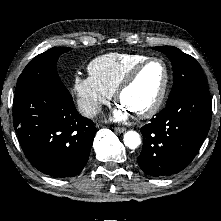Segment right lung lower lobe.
Wrapping results in <instances>:
<instances>
[{"label": "right lung lower lobe", "mask_w": 221, "mask_h": 221, "mask_svg": "<svg viewBox=\"0 0 221 221\" xmlns=\"http://www.w3.org/2000/svg\"><path fill=\"white\" fill-rule=\"evenodd\" d=\"M13 124L24 154L53 177L76 176L88 161L96 133L68 93L37 91L13 102Z\"/></svg>", "instance_id": "right-lung-lower-lobe-1"}]
</instances>
